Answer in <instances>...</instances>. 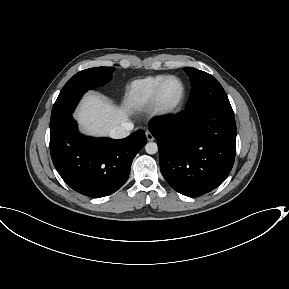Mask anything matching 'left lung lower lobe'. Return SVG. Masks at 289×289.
<instances>
[{"instance_id": "0a47b994", "label": "left lung lower lobe", "mask_w": 289, "mask_h": 289, "mask_svg": "<svg viewBox=\"0 0 289 289\" xmlns=\"http://www.w3.org/2000/svg\"><path fill=\"white\" fill-rule=\"evenodd\" d=\"M149 130L157 139L162 175L183 195L212 191L233 167L236 123L231 110L195 107L153 118Z\"/></svg>"}]
</instances>
